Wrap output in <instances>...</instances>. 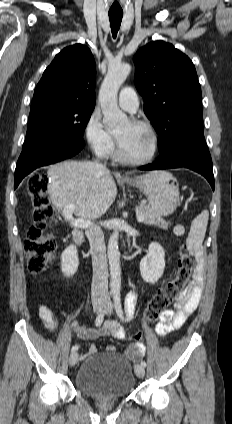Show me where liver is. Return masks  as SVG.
<instances>
[{"label":"liver","instance_id":"1","mask_svg":"<svg viewBox=\"0 0 232 424\" xmlns=\"http://www.w3.org/2000/svg\"><path fill=\"white\" fill-rule=\"evenodd\" d=\"M48 174L52 181L48 193L57 209L75 205L79 219L91 220L104 215L117 194L108 170L101 171L92 162L63 161L53 165Z\"/></svg>","mask_w":232,"mask_h":424}]
</instances>
